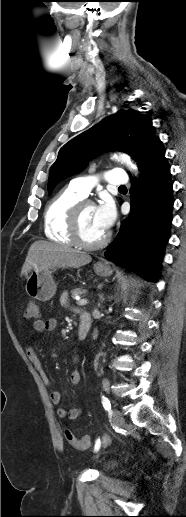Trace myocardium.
I'll list each match as a JSON object with an SVG mask.
<instances>
[{
  "label": "myocardium",
  "instance_id": "myocardium-1",
  "mask_svg": "<svg viewBox=\"0 0 186 517\" xmlns=\"http://www.w3.org/2000/svg\"><path fill=\"white\" fill-rule=\"evenodd\" d=\"M94 206V203L91 200L82 199L79 202H77L70 213L69 218V228H70V234L73 239V242L85 249H97L102 247L107 243L110 237V233L106 232V234L101 237L99 240L94 242L86 241L82 234H81V225H80V219H81V212L85 206Z\"/></svg>",
  "mask_w": 186,
  "mask_h": 517
}]
</instances>
